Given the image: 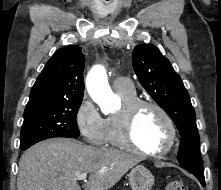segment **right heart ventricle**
Masks as SVG:
<instances>
[{"instance_id": "right-heart-ventricle-1", "label": "right heart ventricle", "mask_w": 221, "mask_h": 190, "mask_svg": "<svg viewBox=\"0 0 221 190\" xmlns=\"http://www.w3.org/2000/svg\"><path fill=\"white\" fill-rule=\"evenodd\" d=\"M124 102L133 101L137 99L135 89L129 91H117ZM107 126V139L106 144L115 148H124L121 144L119 137L118 119L117 114L110 115L106 118Z\"/></svg>"}]
</instances>
